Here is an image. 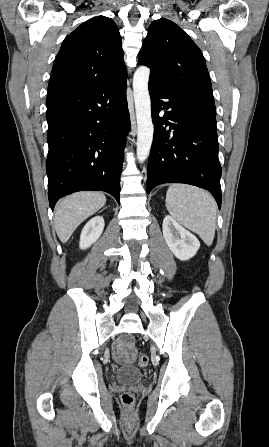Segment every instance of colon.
Here are the masks:
<instances>
[{
    "mask_svg": "<svg viewBox=\"0 0 269 447\" xmlns=\"http://www.w3.org/2000/svg\"><path fill=\"white\" fill-rule=\"evenodd\" d=\"M137 361H138V365L140 367H146L148 365V363H149L148 356H146V355L139 356L137 358ZM134 401H135V398H134V395L131 392L125 391V392L122 393V395H121V403L124 406H131L134 403Z\"/></svg>",
    "mask_w": 269,
    "mask_h": 447,
    "instance_id": "5ec220e1",
    "label": "colon"
}]
</instances>
